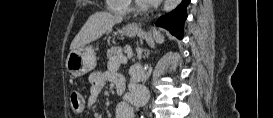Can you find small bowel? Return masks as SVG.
<instances>
[{"label": "small bowel", "instance_id": "small-bowel-1", "mask_svg": "<svg viewBox=\"0 0 273 118\" xmlns=\"http://www.w3.org/2000/svg\"><path fill=\"white\" fill-rule=\"evenodd\" d=\"M116 80H124L123 76L117 73L114 69L108 71L93 73L90 76V93L87 99V106L94 107L101 95V92L107 82H115ZM133 109L130 105L121 106L117 109L116 118H131Z\"/></svg>", "mask_w": 273, "mask_h": 118}]
</instances>
